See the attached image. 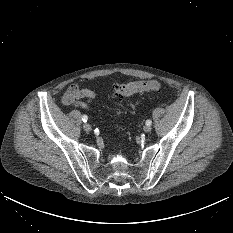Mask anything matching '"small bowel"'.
Listing matches in <instances>:
<instances>
[{"mask_svg":"<svg viewBox=\"0 0 233 233\" xmlns=\"http://www.w3.org/2000/svg\"><path fill=\"white\" fill-rule=\"evenodd\" d=\"M95 100V93L89 88H82L78 83L71 84L62 97V101L67 106L89 108Z\"/></svg>","mask_w":233,"mask_h":233,"instance_id":"c3829d8e","label":"small bowel"}]
</instances>
